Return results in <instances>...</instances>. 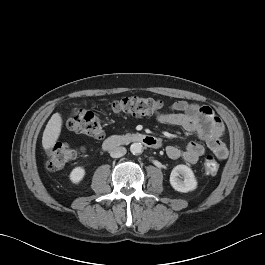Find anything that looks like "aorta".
<instances>
[{
	"label": "aorta",
	"mask_w": 265,
	"mask_h": 265,
	"mask_svg": "<svg viewBox=\"0 0 265 265\" xmlns=\"http://www.w3.org/2000/svg\"><path fill=\"white\" fill-rule=\"evenodd\" d=\"M130 151L134 155L141 154L143 151V146L140 142L132 143L130 146Z\"/></svg>",
	"instance_id": "1"
}]
</instances>
